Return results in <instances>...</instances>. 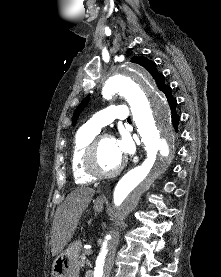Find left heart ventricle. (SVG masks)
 <instances>
[{"mask_svg": "<svg viewBox=\"0 0 221 277\" xmlns=\"http://www.w3.org/2000/svg\"><path fill=\"white\" fill-rule=\"evenodd\" d=\"M121 161L122 159L116 150L114 141L111 139L102 140L96 158L98 170L101 172H110L114 170Z\"/></svg>", "mask_w": 221, "mask_h": 277, "instance_id": "1", "label": "left heart ventricle"}]
</instances>
